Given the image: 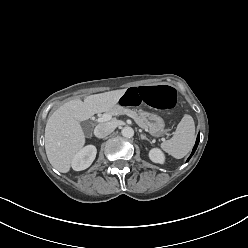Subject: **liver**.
<instances>
[{
  "mask_svg": "<svg viewBox=\"0 0 248 248\" xmlns=\"http://www.w3.org/2000/svg\"><path fill=\"white\" fill-rule=\"evenodd\" d=\"M126 89L89 95L84 101L72 99L60 106L47 120L45 150L50 164L61 173L70 170L73 157L85 144L81 121L113 108Z\"/></svg>",
  "mask_w": 248,
  "mask_h": 248,
  "instance_id": "obj_1",
  "label": "liver"
}]
</instances>
